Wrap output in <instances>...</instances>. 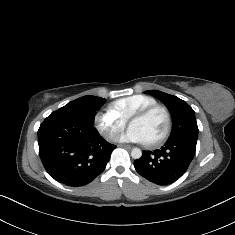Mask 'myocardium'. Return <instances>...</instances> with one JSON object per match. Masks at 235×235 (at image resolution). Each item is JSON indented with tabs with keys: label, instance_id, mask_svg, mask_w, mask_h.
<instances>
[{
	"label": "myocardium",
	"instance_id": "obj_1",
	"mask_svg": "<svg viewBox=\"0 0 235 235\" xmlns=\"http://www.w3.org/2000/svg\"><path fill=\"white\" fill-rule=\"evenodd\" d=\"M156 111H161L165 114L166 119H167V126L166 129L164 131V133L162 135H160L158 138H156L155 140L146 143L147 147H155L158 146L160 144H162L164 141H166L168 139V137L170 136L172 129H173V116L172 113L170 112V110L160 104H156L150 107L145 108L144 110L137 112L136 114H134L131 117V121L136 120V119H143V118H147L148 116H150L152 113L156 112Z\"/></svg>",
	"mask_w": 235,
	"mask_h": 235
}]
</instances>
